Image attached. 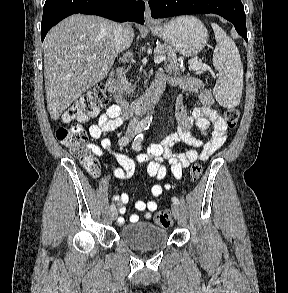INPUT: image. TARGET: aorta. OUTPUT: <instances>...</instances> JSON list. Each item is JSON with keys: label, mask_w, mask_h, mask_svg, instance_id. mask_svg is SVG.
<instances>
[{"label": "aorta", "mask_w": 288, "mask_h": 293, "mask_svg": "<svg viewBox=\"0 0 288 293\" xmlns=\"http://www.w3.org/2000/svg\"><path fill=\"white\" fill-rule=\"evenodd\" d=\"M152 123V115L149 114L141 121L140 125L144 129H148Z\"/></svg>", "instance_id": "1"}]
</instances>
